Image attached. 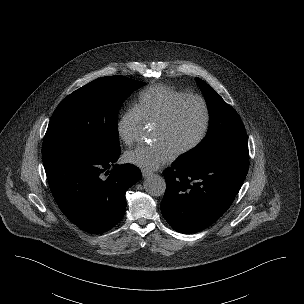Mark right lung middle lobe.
I'll return each mask as SVG.
<instances>
[{
	"label": "right lung middle lobe",
	"instance_id": "right-lung-middle-lobe-1",
	"mask_svg": "<svg viewBox=\"0 0 304 304\" xmlns=\"http://www.w3.org/2000/svg\"><path fill=\"white\" fill-rule=\"evenodd\" d=\"M144 82L123 76L96 79L68 95L54 111L42 157L65 152L120 153L117 117L123 101Z\"/></svg>",
	"mask_w": 304,
	"mask_h": 304
}]
</instances>
